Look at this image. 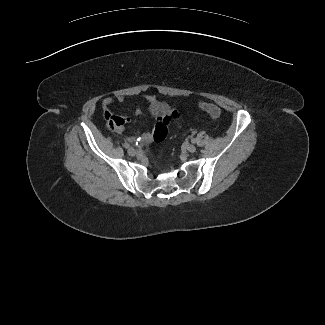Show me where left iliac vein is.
<instances>
[{"instance_id": "left-iliac-vein-1", "label": "left iliac vein", "mask_w": 325, "mask_h": 325, "mask_svg": "<svg viewBox=\"0 0 325 325\" xmlns=\"http://www.w3.org/2000/svg\"><path fill=\"white\" fill-rule=\"evenodd\" d=\"M187 150L190 152V153H194L196 151V147L193 145V144H189L187 146Z\"/></svg>"}]
</instances>
